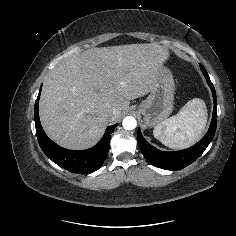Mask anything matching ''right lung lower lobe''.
I'll list each match as a JSON object with an SVG mask.
<instances>
[{
    "label": "right lung lower lobe",
    "instance_id": "obj_1",
    "mask_svg": "<svg viewBox=\"0 0 236 236\" xmlns=\"http://www.w3.org/2000/svg\"><path fill=\"white\" fill-rule=\"evenodd\" d=\"M40 92L35 102V127L39 145L46 156L72 173L89 174L99 169L108 155L111 133L117 124L107 127L103 138L93 148L81 151L62 148L50 140L42 129L38 111Z\"/></svg>",
    "mask_w": 236,
    "mask_h": 236
}]
</instances>
